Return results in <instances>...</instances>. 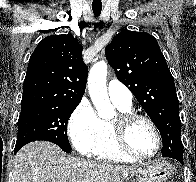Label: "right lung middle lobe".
<instances>
[{
	"label": "right lung middle lobe",
	"mask_w": 196,
	"mask_h": 182,
	"mask_svg": "<svg viewBox=\"0 0 196 182\" xmlns=\"http://www.w3.org/2000/svg\"><path fill=\"white\" fill-rule=\"evenodd\" d=\"M78 103H51L21 107L15 151L25 144L46 140L57 144L65 152L71 151L67 137V123Z\"/></svg>",
	"instance_id": "dd1d6c3e"
}]
</instances>
